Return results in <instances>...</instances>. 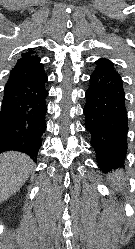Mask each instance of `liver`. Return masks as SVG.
<instances>
[{"label": "liver", "instance_id": "1", "mask_svg": "<svg viewBox=\"0 0 135 249\" xmlns=\"http://www.w3.org/2000/svg\"><path fill=\"white\" fill-rule=\"evenodd\" d=\"M33 168V161L16 151L0 154V202L20 190Z\"/></svg>", "mask_w": 135, "mask_h": 249}]
</instances>
